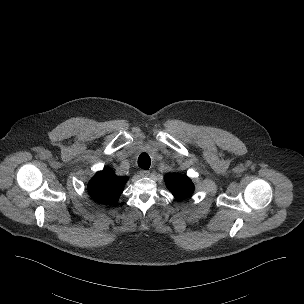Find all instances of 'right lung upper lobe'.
<instances>
[{
	"instance_id": "right-lung-upper-lobe-1",
	"label": "right lung upper lobe",
	"mask_w": 304,
	"mask_h": 304,
	"mask_svg": "<svg viewBox=\"0 0 304 304\" xmlns=\"http://www.w3.org/2000/svg\"><path fill=\"white\" fill-rule=\"evenodd\" d=\"M127 177H117L109 168L99 171L88 184L89 194L97 202L114 204L118 201Z\"/></svg>"
}]
</instances>
